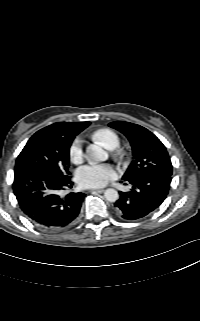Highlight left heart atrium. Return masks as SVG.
I'll return each mask as SVG.
<instances>
[{
  "instance_id": "39dd6f15",
  "label": "left heart atrium",
  "mask_w": 200,
  "mask_h": 321,
  "mask_svg": "<svg viewBox=\"0 0 200 321\" xmlns=\"http://www.w3.org/2000/svg\"><path fill=\"white\" fill-rule=\"evenodd\" d=\"M116 178L113 167L106 164H89L77 172L78 183L84 188H99Z\"/></svg>"
}]
</instances>
